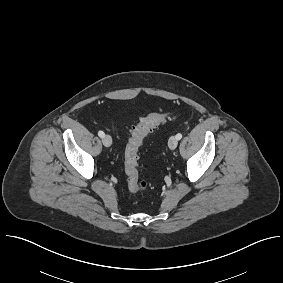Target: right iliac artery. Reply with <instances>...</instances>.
Instances as JSON below:
<instances>
[{
	"mask_svg": "<svg viewBox=\"0 0 283 283\" xmlns=\"http://www.w3.org/2000/svg\"><path fill=\"white\" fill-rule=\"evenodd\" d=\"M99 137L103 138L105 136V133L103 131L98 132Z\"/></svg>",
	"mask_w": 283,
	"mask_h": 283,
	"instance_id": "82829eb1",
	"label": "right iliac artery"
}]
</instances>
